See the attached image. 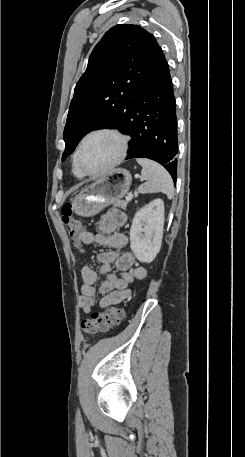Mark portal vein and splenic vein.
Returning <instances> with one entry per match:
<instances>
[{"instance_id":"obj_1","label":"portal vein and splenic vein","mask_w":245,"mask_h":457,"mask_svg":"<svg viewBox=\"0 0 245 457\" xmlns=\"http://www.w3.org/2000/svg\"><path fill=\"white\" fill-rule=\"evenodd\" d=\"M135 176H139V174H135ZM134 194H132V191L129 192L128 196H125L126 200H132Z\"/></svg>"}]
</instances>
